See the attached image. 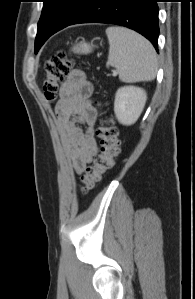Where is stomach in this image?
I'll list each match as a JSON object with an SVG mask.
<instances>
[{
	"instance_id": "1",
	"label": "stomach",
	"mask_w": 195,
	"mask_h": 299,
	"mask_svg": "<svg viewBox=\"0 0 195 299\" xmlns=\"http://www.w3.org/2000/svg\"><path fill=\"white\" fill-rule=\"evenodd\" d=\"M72 50L74 53L78 54H88L91 53L93 50V45L86 43V42H80L73 46Z\"/></svg>"
}]
</instances>
